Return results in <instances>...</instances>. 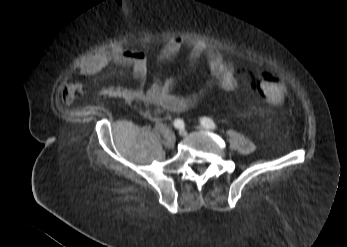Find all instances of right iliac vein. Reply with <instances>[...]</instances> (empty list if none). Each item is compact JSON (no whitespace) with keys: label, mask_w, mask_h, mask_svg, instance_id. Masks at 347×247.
<instances>
[{"label":"right iliac vein","mask_w":347,"mask_h":247,"mask_svg":"<svg viewBox=\"0 0 347 247\" xmlns=\"http://www.w3.org/2000/svg\"><path fill=\"white\" fill-rule=\"evenodd\" d=\"M179 135L180 136H185L186 135V130L185 129H180L179 130Z\"/></svg>","instance_id":"obj_1"}]
</instances>
